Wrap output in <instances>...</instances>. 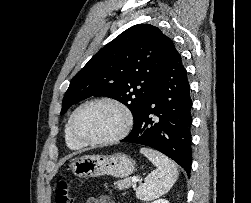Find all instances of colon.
Wrapping results in <instances>:
<instances>
[{"label": "colon", "mask_w": 251, "mask_h": 203, "mask_svg": "<svg viewBox=\"0 0 251 203\" xmlns=\"http://www.w3.org/2000/svg\"><path fill=\"white\" fill-rule=\"evenodd\" d=\"M55 203H74L72 194L67 183H58L55 190Z\"/></svg>", "instance_id": "5ec220e1"}]
</instances>
